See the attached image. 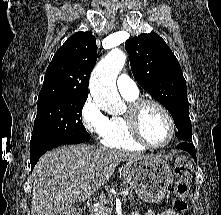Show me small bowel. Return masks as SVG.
<instances>
[{"label":"small bowel","mask_w":221,"mask_h":215,"mask_svg":"<svg viewBox=\"0 0 221 215\" xmlns=\"http://www.w3.org/2000/svg\"><path fill=\"white\" fill-rule=\"evenodd\" d=\"M134 215H140L139 213H135ZM146 215H177L173 209H168L162 212L149 211Z\"/></svg>","instance_id":"c3829d8e"}]
</instances>
